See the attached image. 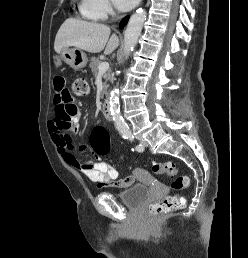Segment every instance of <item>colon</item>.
I'll return each instance as SVG.
<instances>
[{"mask_svg":"<svg viewBox=\"0 0 248 258\" xmlns=\"http://www.w3.org/2000/svg\"><path fill=\"white\" fill-rule=\"evenodd\" d=\"M72 92L76 96H86L89 92L87 82L83 78H76L72 83ZM77 113L75 106L67 107L63 112L55 117L56 124L62 129L71 128V116ZM93 148L96 155L106 154L111 146V141L108 131L104 127H97L92 133ZM114 146H119V141L113 142ZM124 148L123 146L121 147ZM121 168L127 167L126 161L120 162ZM153 171L159 175H165L171 179V186L174 189H184L189 184L187 176H178V167L175 162H157L153 164ZM186 199L180 194H169L149 205V214L152 217H159L171 211L182 209Z\"/></svg>","mask_w":248,"mask_h":258,"instance_id":"1","label":"colon"}]
</instances>
